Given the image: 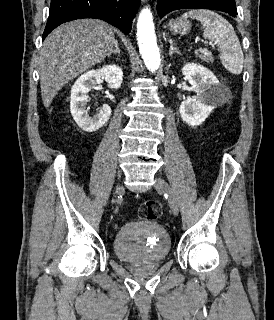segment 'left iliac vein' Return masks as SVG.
Returning a JSON list of instances; mask_svg holds the SVG:
<instances>
[{
    "label": "left iliac vein",
    "mask_w": 274,
    "mask_h": 320,
    "mask_svg": "<svg viewBox=\"0 0 274 320\" xmlns=\"http://www.w3.org/2000/svg\"><path fill=\"white\" fill-rule=\"evenodd\" d=\"M155 189L157 191H160V192L165 193L167 195L169 206H170L173 214L175 216H177L179 213L178 202H177L175 195L173 194V191L171 190L169 184L162 178H156Z\"/></svg>",
    "instance_id": "1"
}]
</instances>
